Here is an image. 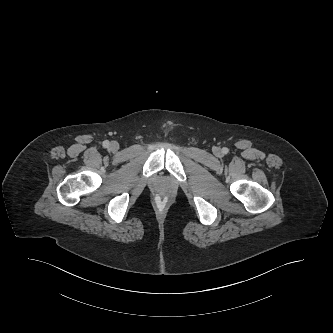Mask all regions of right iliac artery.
<instances>
[{"label":"right iliac artery","instance_id":"82829eb1","mask_svg":"<svg viewBox=\"0 0 333 333\" xmlns=\"http://www.w3.org/2000/svg\"><path fill=\"white\" fill-rule=\"evenodd\" d=\"M109 141L108 140H105L104 142H103V147L104 148H108L109 147Z\"/></svg>","mask_w":333,"mask_h":333}]
</instances>
